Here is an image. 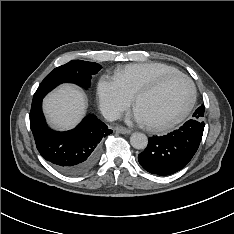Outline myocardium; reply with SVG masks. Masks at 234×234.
Returning <instances> with one entry per match:
<instances>
[{
  "instance_id": "myocardium-1",
  "label": "myocardium",
  "mask_w": 234,
  "mask_h": 234,
  "mask_svg": "<svg viewBox=\"0 0 234 234\" xmlns=\"http://www.w3.org/2000/svg\"><path fill=\"white\" fill-rule=\"evenodd\" d=\"M173 78H182L184 79L190 86L191 90V97L190 100L187 104V106L184 108V110L176 117L162 122V123H147V126L153 130V131H165L168 129H171L181 123L191 112V110L194 107V104L196 102L197 98V91L194 82L190 77H188L186 74L181 73V72H174V73H169L165 74L152 83L146 85L145 87L141 88L135 95H134V106L137 107V104L141 98H143L146 95H149L156 90H158L163 84H165L167 81Z\"/></svg>"
}]
</instances>
